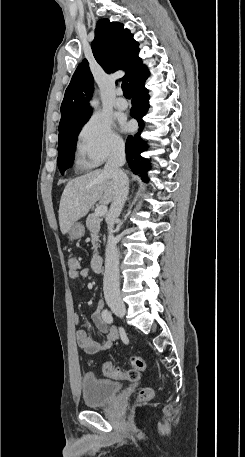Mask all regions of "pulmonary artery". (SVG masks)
I'll use <instances>...</instances> for the list:
<instances>
[{"label": "pulmonary artery", "mask_w": 245, "mask_h": 457, "mask_svg": "<svg viewBox=\"0 0 245 457\" xmlns=\"http://www.w3.org/2000/svg\"><path fill=\"white\" fill-rule=\"evenodd\" d=\"M122 91L120 89L117 90V98L115 100V107L119 110H124L127 108L128 106V103H127V100L125 98H123L122 96Z\"/></svg>", "instance_id": "e3ab8cb5"}]
</instances>
